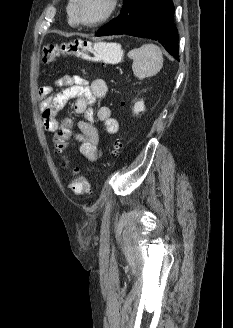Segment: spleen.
Here are the masks:
<instances>
[{
	"label": "spleen",
	"mask_w": 233,
	"mask_h": 328,
	"mask_svg": "<svg viewBox=\"0 0 233 328\" xmlns=\"http://www.w3.org/2000/svg\"><path fill=\"white\" fill-rule=\"evenodd\" d=\"M105 49H119L116 43L103 44ZM128 57L132 59V70L139 79L156 75L163 67V55L161 49L153 44H144L139 48L128 52Z\"/></svg>",
	"instance_id": "3e777b00"
}]
</instances>
